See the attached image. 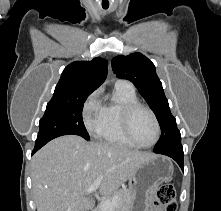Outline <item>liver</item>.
I'll return each mask as SVG.
<instances>
[{
    "label": "liver",
    "mask_w": 221,
    "mask_h": 211,
    "mask_svg": "<svg viewBox=\"0 0 221 211\" xmlns=\"http://www.w3.org/2000/svg\"><path fill=\"white\" fill-rule=\"evenodd\" d=\"M153 155L107 142H87L75 135L50 141L32 158L37 211H88L94 201L87 189L103 176L100 193H113L131 178L137 165Z\"/></svg>",
    "instance_id": "1"
}]
</instances>
